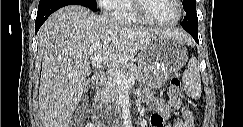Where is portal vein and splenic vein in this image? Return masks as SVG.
I'll return each instance as SVG.
<instances>
[{
  "label": "portal vein and splenic vein",
  "mask_w": 243,
  "mask_h": 127,
  "mask_svg": "<svg viewBox=\"0 0 243 127\" xmlns=\"http://www.w3.org/2000/svg\"><path fill=\"white\" fill-rule=\"evenodd\" d=\"M102 61H103L102 57H95V58L92 59L91 63H92L93 67L100 68ZM112 77L117 82V84L120 85V86L128 87V86H130V84L135 82L134 75L130 76L129 78H126L123 73L114 72L112 74Z\"/></svg>",
  "instance_id": "18ae733b"
}]
</instances>
